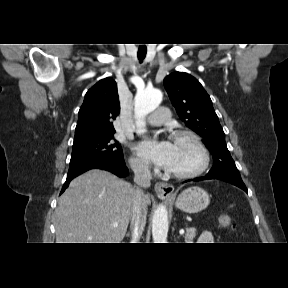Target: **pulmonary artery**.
Segmentation results:
<instances>
[{"instance_id":"pulmonary-artery-1","label":"pulmonary artery","mask_w":288,"mask_h":288,"mask_svg":"<svg viewBox=\"0 0 288 288\" xmlns=\"http://www.w3.org/2000/svg\"><path fill=\"white\" fill-rule=\"evenodd\" d=\"M170 119V112L166 107H158L153 115L148 119L151 127H160L165 125Z\"/></svg>"}]
</instances>
